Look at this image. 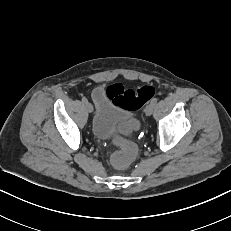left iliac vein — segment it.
Segmentation results:
<instances>
[{
  "label": "left iliac vein",
  "mask_w": 231,
  "mask_h": 231,
  "mask_svg": "<svg viewBox=\"0 0 231 231\" xmlns=\"http://www.w3.org/2000/svg\"><path fill=\"white\" fill-rule=\"evenodd\" d=\"M154 106H155L154 103H149V104L146 106V108H145V113H146V115L150 116V115L153 113Z\"/></svg>",
  "instance_id": "4c4485c4"
}]
</instances>
